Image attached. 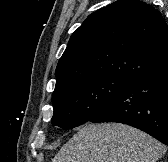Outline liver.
<instances>
[{
    "instance_id": "1",
    "label": "liver",
    "mask_w": 168,
    "mask_h": 162,
    "mask_svg": "<svg viewBox=\"0 0 168 162\" xmlns=\"http://www.w3.org/2000/svg\"><path fill=\"white\" fill-rule=\"evenodd\" d=\"M166 147L147 133L121 123L88 124L52 162H156Z\"/></svg>"
}]
</instances>
